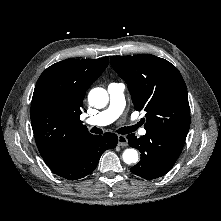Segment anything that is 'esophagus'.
Here are the masks:
<instances>
[{
  "label": "esophagus",
  "instance_id": "34e87169",
  "mask_svg": "<svg viewBox=\"0 0 221 221\" xmlns=\"http://www.w3.org/2000/svg\"><path fill=\"white\" fill-rule=\"evenodd\" d=\"M118 145L126 147L128 145V140L125 135H118Z\"/></svg>",
  "mask_w": 221,
  "mask_h": 221
}]
</instances>
